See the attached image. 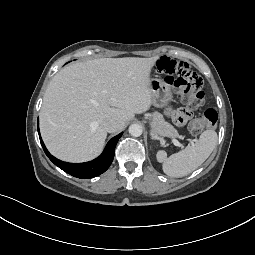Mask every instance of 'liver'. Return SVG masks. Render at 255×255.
I'll list each match as a JSON object with an SVG mask.
<instances>
[{
	"label": "liver",
	"mask_w": 255,
	"mask_h": 255,
	"mask_svg": "<svg viewBox=\"0 0 255 255\" xmlns=\"http://www.w3.org/2000/svg\"><path fill=\"white\" fill-rule=\"evenodd\" d=\"M158 59L100 58L59 71L40 112V131L50 153L68 162L97 157L107 137L106 120H120L123 129L135 114L149 110L150 72Z\"/></svg>",
	"instance_id": "6515ba94"
}]
</instances>
